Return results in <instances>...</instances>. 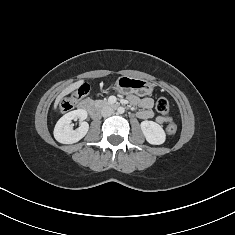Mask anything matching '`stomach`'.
<instances>
[{
	"mask_svg": "<svg viewBox=\"0 0 235 235\" xmlns=\"http://www.w3.org/2000/svg\"><path fill=\"white\" fill-rule=\"evenodd\" d=\"M114 89L122 94H136L139 97L150 95L154 85L147 80L130 76H120L114 84Z\"/></svg>",
	"mask_w": 235,
	"mask_h": 235,
	"instance_id": "0dacf381",
	"label": "stomach"
}]
</instances>
